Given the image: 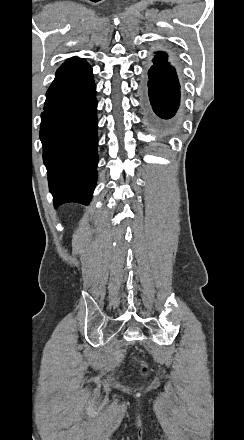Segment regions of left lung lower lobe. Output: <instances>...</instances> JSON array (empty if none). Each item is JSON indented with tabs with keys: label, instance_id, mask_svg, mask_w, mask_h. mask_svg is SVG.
Instances as JSON below:
<instances>
[{
	"label": "left lung lower lobe",
	"instance_id": "1",
	"mask_svg": "<svg viewBox=\"0 0 244 440\" xmlns=\"http://www.w3.org/2000/svg\"><path fill=\"white\" fill-rule=\"evenodd\" d=\"M142 117L149 133L159 140L176 135L180 118V84L169 59L154 57L153 65L139 85Z\"/></svg>",
	"mask_w": 244,
	"mask_h": 440
}]
</instances>
